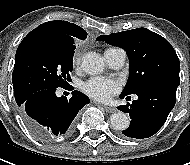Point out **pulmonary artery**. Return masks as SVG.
I'll use <instances>...</instances> for the list:
<instances>
[{
	"instance_id": "pulmonary-artery-1",
	"label": "pulmonary artery",
	"mask_w": 190,
	"mask_h": 165,
	"mask_svg": "<svg viewBox=\"0 0 190 165\" xmlns=\"http://www.w3.org/2000/svg\"><path fill=\"white\" fill-rule=\"evenodd\" d=\"M104 57L111 68L119 69L125 63L126 52L119 48L107 49L104 53Z\"/></svg>"
}]
</instances>
